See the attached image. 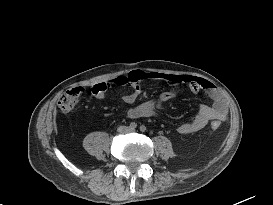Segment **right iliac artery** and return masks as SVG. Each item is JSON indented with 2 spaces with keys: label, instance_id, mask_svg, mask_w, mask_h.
Here are the masks:
<instances>
[{
  "label": "right iliac artery",
  "instance_id": "right-iliac-artery-1",
  "mask_svg": "<svg viewBox=\"0 0 273 205\" xmlns=\"http://www.w3.org/2000/svg\"><path fill=\"white\" fill-rule=\"evenodd\" d=\"M131 129H135L137 127V124L135 122L130 123L129 126Z\"/></svg>",
  "mask_w": 273,
  "mask_h": 205
}]
</instances>
